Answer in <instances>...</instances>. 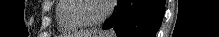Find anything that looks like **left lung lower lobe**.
<instances>
[{
  "label": "left lung lower lobe",
  "mask_w": 219,
  "mask_h": 37,
  "mask_svg": "<svg viewBox=\"0 0 219 37\" xmlns=\"http://www.w3.org/2000/svg\"><path fill=\"white\" fill-rule=\"evenodd\" d=\"M165 11V0H119L116 11L103 26L118 37H155Z\"/></svg>",
  "instance_id": "obj_1"
}]
</instances>
